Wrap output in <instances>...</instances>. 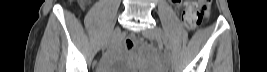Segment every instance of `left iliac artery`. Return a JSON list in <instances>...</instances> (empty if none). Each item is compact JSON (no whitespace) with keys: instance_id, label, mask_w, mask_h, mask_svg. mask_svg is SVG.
Listing matches in <instances>:
<instances>
[{"instance_id":"obj_1","label":"left iliac artery","mask_w":267,"mask_h":72,"mask_svg":"<svg viewBox=\"0 0 267 72\" xmlns=\"http://www.w3.org/2000/svg\"><path fill=\"white\" fill-rule=\"evenodd\" d=\"M159 32L162 35L163 42H164V45H165L164 54H165V56H170V46H169V43H168V41H167V39H166L163 31L161 29H159Z\"/></svg>"}]
</instances>
